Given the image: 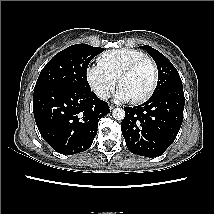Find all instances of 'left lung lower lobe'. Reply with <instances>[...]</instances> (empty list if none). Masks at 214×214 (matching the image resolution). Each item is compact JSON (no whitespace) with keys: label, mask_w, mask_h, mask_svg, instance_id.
<instances>
[{"label":"left lung lower lobe","mask_w":214,"mask_h":214,"mask_svg":"<svg viewBox=\"0 0 214 214\" xmlns=\"http://www.w3.org/2000/svg\"><path fill=\"white\" fill-rule=\"evenodd\" d=\"M184 104L183 87H172L142 105L124 108L121 129L127 148L141 156L162 155L179 132Z\"/></svg>","instance_id":"obj_1"}]
</instances>
